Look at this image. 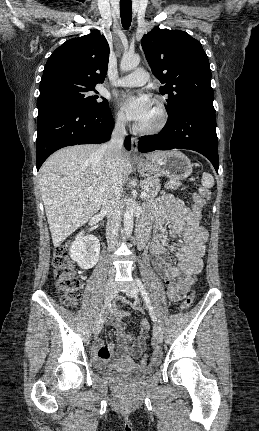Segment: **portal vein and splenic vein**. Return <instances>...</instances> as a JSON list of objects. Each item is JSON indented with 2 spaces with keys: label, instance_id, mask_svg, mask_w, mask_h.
<instances>
[{
  "label": "portal vein and splenic vein",
  "instance_id": "obj_1",
  "mask_svg": "<svg viewBox=\"0 0 259 431\" xmlns=\"http://www.w3.org/2000/svg\"><path fill=\"white\" fill-rule=\"evenodd\" d=\"M145 197H147V192L146 191L141 192V198H145Z\"/></svg>",
  "mask_w": 259,
  "mask_h": 431
}]
</instances>
